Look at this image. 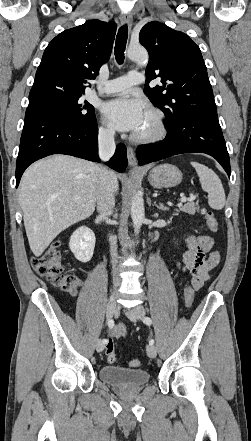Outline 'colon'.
Instances as JSON below:
<instances>
[{"instance_id": "colon-1", "label": "colon", "mask_w": 251, "mask_h": 441, "mask_svg": "<svg viewBox=\"0 0 251 441\" xmlns=\"http://www.w3.org/2000/svg\"><path fill=\"white\" fill-rule=\"evenodd\" d=\"M206 222L212 231H217L219 224L212 212L206 214ZM61 242L55 241L49 245L45 251L32 259V266L37 274L63 290H69L78 283V278L71 273L66 272L60 251ZM184 300L187 307H191L194 301V290L192 287H186L184 290ZM114 342L110 339L106 346L107 361L114 363L116 356L114 354ZM141 362L133 359L129 362L132 368H138Z\"/></svg>"}]
</instances>
